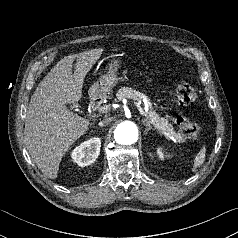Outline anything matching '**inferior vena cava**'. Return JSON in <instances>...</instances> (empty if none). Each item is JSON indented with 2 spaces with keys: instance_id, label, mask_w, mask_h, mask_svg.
I'll return each mask as SVG.
<instances>
[{
  "instance_id": "1",
  "label": "inferior vena cava",
  "mask_w": 238,
  "mask_h": 238,
  "mask_svg": "<svg viewBox=\"0 0 238 238\" xmlns=\"http://www.w3.org/2000/svg\"><path fill=\"white\" fill-rule=\"evenodd\" d=\"M111 118L109 117V118H105L104 120H102L101 122H99V126H105V125H107L108 123H110L111 122Z\"/></svg>"
}]
</instances>
